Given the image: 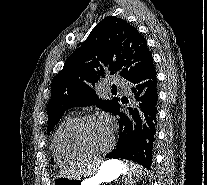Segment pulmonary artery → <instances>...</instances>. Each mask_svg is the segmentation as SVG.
Segmentation results:
<instances>
[{
    "label": "pulmonary artery",
    "mask_w": 207,
    "mask_h": 185,
    "mask_svg": "<svg viewBox=\"0 0 207 185\" xmlns=\"http://www.w3.org/2000/svg\"><path fill=\"white\" fill-rule=\"evenodd\" d=\"M114 85L115 86H120L121 85V82L120 81H115L114 82ZM124 92L128 93L130 91V88H127V87H122L121 88Z\"/></svg>",
    "instance_id": "obj_1"
}]
</instances>
